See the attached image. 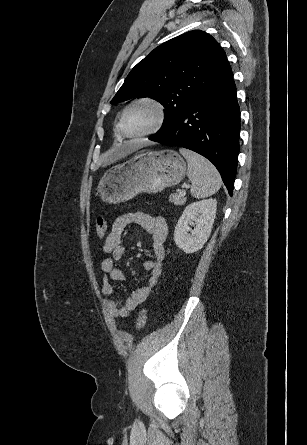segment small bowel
<instances>
[{
  "label": "small bowel",
  "mask_w": 307,
  "mask_h": 445,
  "mask_svg": "<svg viewBox=\"0 0 307 445\" xmlns=\"http://www.w3.org/2000/svg\"><path fill=\"white\" fill-rule=\"evenodd\" d=\"M138 224L145 229L151 237V248L153 257L144 264L150 273L146 284L135 290L128 298H112L114 293L111 281L121 282L125 276L118 268L117 263L124 255L122 236L125 228L130 224ZM168 234L166 219L160 214H148L143 211H131L120 215L112 224L111 231L107 235L102 250L108 256L102 261L101 269L104 276L101 281V290L107 298L103 305L107 312L115 318L127 317L136 310L149 297L158 283L164 267L166 255L164 242Z\"/></svg>",
  "instance_id": "small-bowel-1"
}]
</instances>
